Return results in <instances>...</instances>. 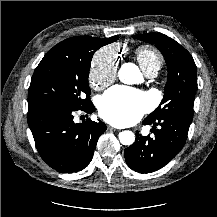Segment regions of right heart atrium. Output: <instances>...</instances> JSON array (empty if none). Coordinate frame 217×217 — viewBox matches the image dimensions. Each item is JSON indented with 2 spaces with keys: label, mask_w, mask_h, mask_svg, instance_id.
<instances>
[{
  "label": "right heart atrium",
  "mask_w": 217,
  "mask_h": 217,
  "mask_svg": "<svg viewBox=\"0 0 217 217\" xmlns=\"http://www.w3.org/2000/svg\"><path fill=\"white\" fill-rule=\"evenodd\" d=\"M119 55L115 47L106 46L98 50L92 59L89 81L97 89L110 86L116 79Z\"/></svg>",
  "instance_id": "obj_1"
}]
</instances>
